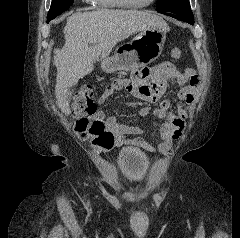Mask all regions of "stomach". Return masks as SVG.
Here are the masks:
<instances>
[{"label":"stomach","mask_w":240,"mask_h":238,"mask_svg":"<svg viewBox=\"0 0 240 238\" xmlns=\"http://www.w3.org/2000/svg\"><path fill=\"white\" fill-rule=\"evenodd\" d=\"M165 28H147L131 42L118 47L115 54L103 60L101 67L105 72L130 71L155 61L162 53L166 40Z\"/></svg>","instance_id":"0dacf381"}]
</instances>
